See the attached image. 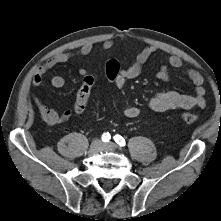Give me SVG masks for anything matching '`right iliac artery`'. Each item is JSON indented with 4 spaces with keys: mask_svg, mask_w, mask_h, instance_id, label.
I'll list each match as a JSON object with an SVG mask.
<instances>
[{
    "mask_svg": "<svg viewBox=\"0 0 221 221\" xmlns=\"http://www.w3.org/2000/svg\"><path fill=\"white\" fill-rule=\"evenodd\" d=\"M111 136L110 134L107 132V133H103L101 139L103 142H108L110 140Z\"/></svg>",
    "mask_w": 221,
    "mask_h": 221,
    "instance_id": "obj_1",
    "label": "right iliac artery"
}]
</instances>
